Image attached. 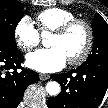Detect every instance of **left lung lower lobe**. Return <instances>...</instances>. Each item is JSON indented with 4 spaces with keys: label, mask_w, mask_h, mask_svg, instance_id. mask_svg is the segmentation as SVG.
Masks as SVG:
<instances>
[{
    "label": "left lung lower lobe",
    "mask_w": 108,
    "mask_h": 108,
    "mask_svg": "<svg viewBox=\"0 0 108 108\" xmlns=\"http://www.w3.org/2000/svg\"><path fill=\"white\" fill-rule=\"evenodd\" d=\"M51 78L61 85V93L48 99V108H98L108 90V63L95 61ZM70 91L76 92L73 99Z\"/></svg>",
    "instance_id": "left-lung-lower-lobe-1"
}]
</instances>
